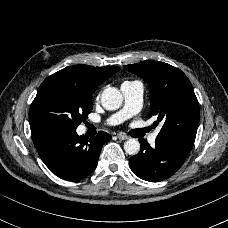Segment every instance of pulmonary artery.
Masks as SVG:
<instances>
[{
    "label": "pulmonary artery",
    "mask_w": 228,
    "mask_h": 228,
    "mask_svg": "<svg viewBox=\"0 0 228 228\" xmlns=\"http://www.w3.org/2000/svg\"><path fill=\"white\" fill-rule=\"evenodd\" d=\"M121 91L124 96V107L119 112L107 119L104 123L106 125L113 126L120 124L141 108L144 93V86L141 81L134 80L123 82L121 84ZM157 135L158 131H155L148 136V141L150 144H155Z\"/></svg>",
    "instance_id": "1"
}]
</instances>
